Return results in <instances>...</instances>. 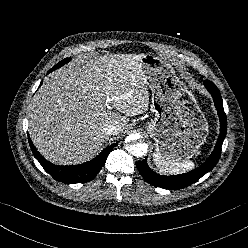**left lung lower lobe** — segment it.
Segmentation results:
<instances>
[{"label":"left lung lower lobe","mask_w":248,"mask_h":248,"mask_svg":"<svg viewBox=\"0 0 248 248\" xmlns=\"http://www.w3.org/2000/svg\"><path fill=\"white\" fill-rule=\"evenodd\" d=\"M204 85L214 99L215 107L220 118V135L212 154L209 156L206 162H204L197 169L185 174L175 176H163L156 174L149 168L147 164V158H145L143 161L136 162L137 168L143 178L153 186L171 190L187 187L199 180L203 175L212 170L217 164L221 154V147L227 131V118L223 109L222 98L220 96L218 88L211 81H204Z\"/></svg>","instance_id":"left-lung-lower-lobe-1"}]
</instances>
